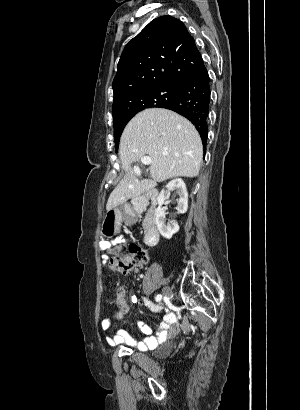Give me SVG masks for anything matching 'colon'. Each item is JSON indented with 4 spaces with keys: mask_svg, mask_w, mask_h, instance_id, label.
Listing matches in <instances>:
<instances>
[{
    "mask_svg": "<svg viewBox=\"0 0 300 410\" xmlns=\"http://www.w3.org/2000/svg\"><path fill=\"white\" fill-rule=\"evenodd\" d=\"M148 261L147 251L139 244L132 243L126 254L113 255L107 259L109 267L119 273H127L145 265Z\"/></svg>",
    "mask_w": 300,
    "mask_h": 410,
    "instance_id": "5ec220e1",
    "label": "colon"
}]
</instances>
